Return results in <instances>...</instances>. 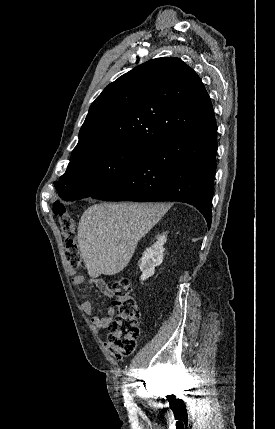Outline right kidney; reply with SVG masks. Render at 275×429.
<instances>
[{
	"instance_id": "ca27d5eb",
	"label": "right kidney",
	"mask_w": 275,
	"mask_h": 429,
	"mask_svg": "<svg viewBox=\"0 0 275 429\" xmlns=\"http://www.w3.org/2000/svg\"><path fill=\"white\" fill-rule=\"evenodd\" d=\"M164 234L157 237L156 243L150 248H147L140 261V270L142 271L141 280L144 281L151 277L155 272V267L159 266L163 261L164 243L166 242Z\"/></svg>"
}]
</instances>
